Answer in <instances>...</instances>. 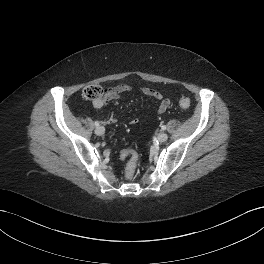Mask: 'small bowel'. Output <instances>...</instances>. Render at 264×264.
Instances as JSON below:
<instances>
[{
	"label": "small bowel",
	"instance_id": "1",
	"mask_svg": "<svg viewBox=\"0 0 264 264\" xmlns=\"http://www.w3.org/2000/svg\"><path fill=\"white\" fill-rule=\"evenodd\" d=\"M134 88H135L134 85L130 83H122L117 86L107 88L104 90L105 91L104 96L101 99L93 101L92 106L94 109H100L111 101L119 100L123 93L129 92L133 90ZM138 91L148 97H151L159 101V105L157 108V112L159 114L164 113L171 104V101L169 98H164L162 92L155 90L153 88L139 87ZM115 122H116L115 116L110 115L109 118L107 119V123L113 124ZM135 123H136V120L131 121V124H135Z\"/></svg>",
	"mask_w": 264,
	"mask_h": 264
}]
</instances>
